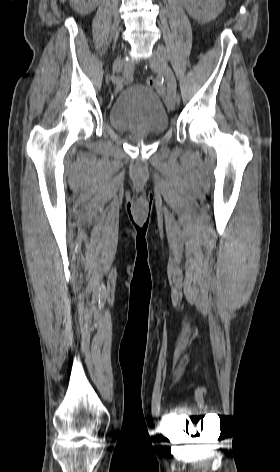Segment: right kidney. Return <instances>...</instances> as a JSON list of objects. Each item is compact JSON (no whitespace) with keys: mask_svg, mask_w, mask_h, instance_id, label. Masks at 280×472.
I'll return each mask as SVG.
<instances>
[{"mask_svg":"<svg viewBox=\"0 0 280 472\" xmlns=\"http://www.w3.org/2000/svg\"><path fill=\"white\" fill-rule=\"evenodd\" d=\"M100 0H75L74 7L81 13L87 14L92 12L98 5Z\"/></svg>","mask_w":280,"mask_h":472,"instance_id":"obj_1","label":"right kidney"}]
</instances>
